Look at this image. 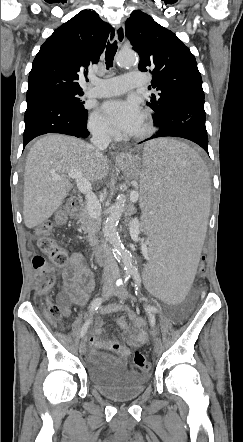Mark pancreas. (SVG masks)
I'll return each mask as SVG.
<instances>
[{"label":"pancreas","mask_w":243,"mask_h":442,"mask_svg":"<svg viewBox=\"0 0 243 442\" xmlns=\"http://www.w3.org/2000/svg\"><path fill=\"white\" fill-rule=\"evenodd\" d=\"M80 223L82 230L87 234L89 243L95 245L96 235L100 229V219L90 216L87 206H85L80 215Z\"/></svg>","instance_id":"1"}]
</instances>
